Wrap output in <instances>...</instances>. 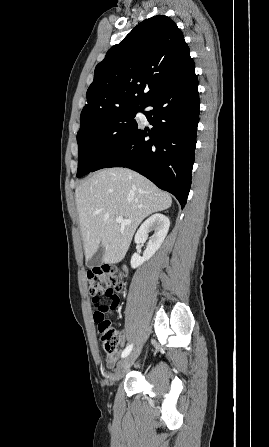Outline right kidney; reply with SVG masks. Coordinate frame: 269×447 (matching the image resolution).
Wrapping results in <instances>:
<instances>
[{"label": "right kidney", "mask_w": 269, "mask_h": 447, "mask_svg": "<svg viewBox=\"0 0 269 447\" xmlns=\"http://www.w3.org/2000/svg\"><path fill=\"white\" fill-rule=\"evenodd\" d=\"M169 227V218H166L163 214H153V216H150L148 220H145V222L140 225L135 235V243H144V241L148 239L150 231H154V233L151 235L142 257L139 253H133L131 257V267L142 265L144 261H147V259H150V257L156 253L162 241H164Z\"/></svg>", "instance_id": "1"}]
</instances>
